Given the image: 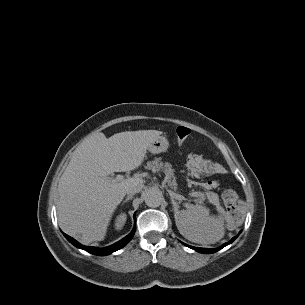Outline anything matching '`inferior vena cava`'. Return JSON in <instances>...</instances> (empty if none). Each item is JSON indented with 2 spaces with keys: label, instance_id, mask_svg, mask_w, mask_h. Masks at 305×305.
Wrapping results in <instances>:
<instances>
[{
  "label": "inferior vena cava",
  "instance_id": "inferior-vena-cava-1",
  "mask_svg": "<svg viewBox=\"0 0 305 305\" xmlns=\"http://www.w3.org/2000/svg\"><path fill=\"white\" fill-rule=\"evenodd\" d=\"M143 188H144V185H143V184L133 185V186H130V187L126 190V193H127V194L139 193L140 191H142Z\"/></svg>",
  "mask_w": 305,
  "mask_h": 305
}]
</instances>
